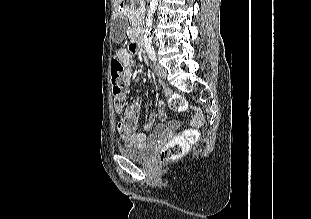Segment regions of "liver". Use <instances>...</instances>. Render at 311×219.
<instances>
[{"label":"liver","mask_w":311,"mask_h":219,"mask_svg":"<svg viewBox=\"0 0 311 219\" xmlns=\"http://www.w3.org/2000/svg\"><path fill=\"white\" fill-rule=\"evenodd\" d=\"M124 0H112V4H113V7H114V14H116V10H117V7L120 5L121 2H123Z\"/></svg>","instance_id":"6515ba94"}]
</instances>
